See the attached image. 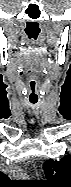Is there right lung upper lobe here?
Listing matches in <instances>:
<instances>
[{
	"label": "right lung upper lobe",
	"mask_w": 71,
	"mask_h": 187,
	"mask_svg": "<svg viewBox=\"0 0 71 187\" xmlns=\"http://www.w3.org/2000/svg\"><path fill=\"white\" fill-rule=\"evenodd\" d=\"M3 176H4L7 180H9L8 177H7L6 175L3 174ZM7 184H8V183H7Z\"/></svg>",
	"instance_id": "obj_1"
}]
</instances>
